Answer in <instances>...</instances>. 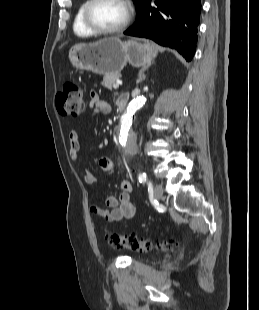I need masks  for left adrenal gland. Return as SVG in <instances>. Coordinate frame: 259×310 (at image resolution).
Returning <instances> with one entry per match:
<instances>
[{
    "label": "left adrenal gland",
    "instance_id": "a2214340",
    "mask_svg": "<svg viewBox=\"0 0 259 310\" xmlns=\"http://www.w3.org/2000/svg\"><path fill=\"white\" fill-rule=\"evenodd\" d=\"M149 67H144L139 71V75H138V82H143L146 78L144 72L148 69Z\"/></svg>",
    "mask_w": 259,
    "mask_h": 310
}]
</instances>
